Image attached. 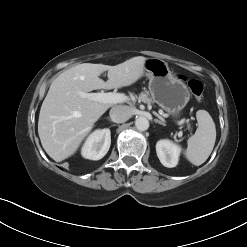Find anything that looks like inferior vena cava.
<instances>
[{
    "mask_svg": "<svg viewBox=\"0 0 247 247\" xmlns=\"http://www.w3.org/2000/svg\"><path fill=\"white\" fill-rule=\"evenodd\" d=\"M110 117L116 123H124L132 116V110L129 106H114L110 110Z\"/></svg>",
    "mask_w": 247,
    "mask_h": 247,
    "instance_id": "1",
    "label": "inferior vena cava"
}]
</instances>
